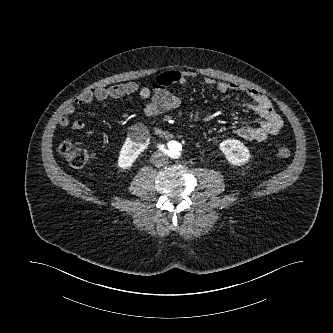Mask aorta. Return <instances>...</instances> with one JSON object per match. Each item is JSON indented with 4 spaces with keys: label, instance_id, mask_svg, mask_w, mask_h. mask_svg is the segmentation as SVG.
I'll list each match as a JSON object with an SVG mask.
<instances>
[{
    "label": "aorta",
    "instance_id": "1",
    "mask_svg": "<svg viewBox=\"0 0 333 333\" xmlns=\"http://www.w3.org/2000/svg\"><path fill=\"white\" fill-rule=\"evenodd\" d=\"M172 144V151L174 152L175 156H179L183 148V144L178 141H174Z\"/></svg>",
    "mask_w": 333,
    "mask_h": 333
}]
</instances>
